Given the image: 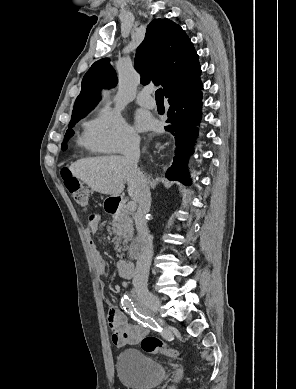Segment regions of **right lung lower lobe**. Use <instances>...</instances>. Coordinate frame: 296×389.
I'll return each instance as SVG.
<instances>
[{
    "label": "right lung lower lobe",
    "instance_id": "98d812e1",
    "mask_svg": "<svg viewBox=\"0 0 296 389\" xmlns=\"http://www.w3.org/2000/svg\"><path fill=\"white\" fill-rule=\"evenodd\" d=\"M202 89V83L191 87L178 86L171 88L165 95L170 104L169 125L165 130L173 134L176 148L173 163L165 175L170 180H178L186 185L191 184L186 165L189 155L193 153L196 127L202 118Z\"/></svg>",
    "mask_w": 296,
    "mask_h": 389
}]
</instances>
